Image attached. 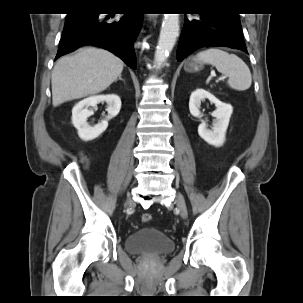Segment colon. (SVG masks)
<instances>
[{"label": "colon", "instance_id": "5ec220e1", "mask_svg": "<svg viewBox=\"0 0 303 303\" xmlns=\"http://www.w3.org/2000/svg\"><path fill=\"white\" fill-rule=\"evenodd\" d=\"M152 219V216L150 213H143L141 216V221L144 223L150 222Z\"/></svg>", "mask_w": 303, "mask_h": 303}]
</instances>
